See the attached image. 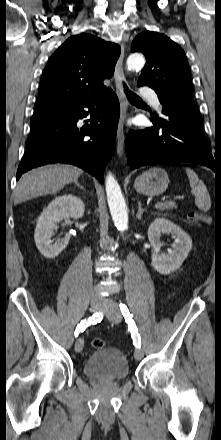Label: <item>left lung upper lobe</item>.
<instances>
[{
  "label": "left lung upper lobe",
  "mask_w": 221,
  "mask_h": 440,
  "mask_svg": "<svg viewBox=\"0 0 221 440\" xmlns=\"http://www.w3.org/2000/svg\"><path fill=\"white\" fill-rule=\"evenodd\" d=\"M132 52H141L146 64L138 86L147 85L158 94L163 107H174L200 116L192 99L191 71L183 49L164 34L140 33L132 42Z\"/></svg>",
  "instance_id": "obj_1"
}]
</instances>
